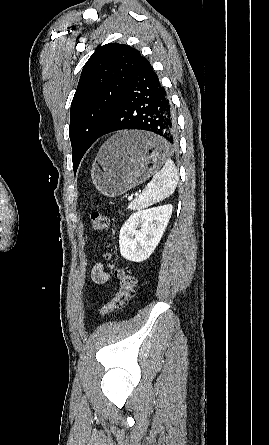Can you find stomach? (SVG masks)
Wrapping results in <instances>:
<instances>
[{
	"instance_id": "obj_1",
	"label": "stomach",
	"mask_w": 269,
	"mask_h": 445,
	"mask_svg": "<svg viewBox=\"0 0 269 445\" xmlns=\"http://www.w3.org/2000/svg\"><path fill=\"white\" fill-rule=\"evenodd\" d=\"M167 142L142 131H124L107 140L91 170L96 189L105 196L124 194L147 180L167 158Z\"/></svg>"
}]
</instances>
